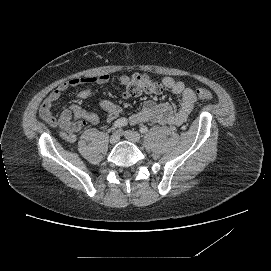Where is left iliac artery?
I'll return each instance as SVG.
<instances>
[{
	"label": "left iliac artery",
	"instance_id": "1",
	"mask_svg": "<svg viewBox=\"0 0 271 271\" xmlns=\"http://www.w3.org/2000/svg\"><path fill=\"white\" fill-rule=\"evenodd\" d=\"M139 131L144 134L148 132V128L146 126H142L140 127Z\"/></svg>",
	"mask_w": 271,
	"mask_h": 271
}]
</instances>
